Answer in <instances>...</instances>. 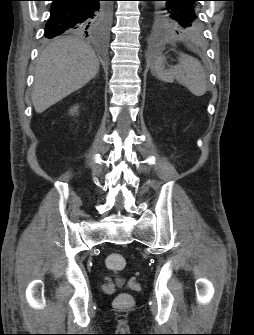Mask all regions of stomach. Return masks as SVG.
Masks as SVG:
<instances>
[{
  "label": "stomach",
  "instance_id": "0dacf381",
  "mask_svg": "<svg viewBox=\"0 0 254 335\" xmlns=\"http://www.w3.org/2000/svg\"><path fill=\"white\" fill-rule=\"evenodd\" d=\"M162 59H163V61H165V57L164 56H162Z\"/></svg>",
  "mask_w": 254,
  "mask_h": 335
}]
</instances>
